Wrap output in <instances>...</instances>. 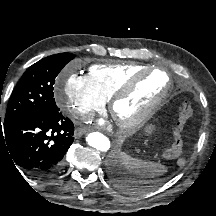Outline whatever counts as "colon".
Segmentation results:
<instances>
[{
	"instance_id": "5ec220e1",
	"label": "colon",
	"mask_w": 216,
	"mask_h": 216,
	"mask_svg": "<svg viewBox=\"0 0 216 216\" xmlns=\"http://www.w3.org/2000/svg\"><path fill=\"white\" fill-rule=\"evenodd\" d=\"M191 115V103L185 99L178 106V117L173 127L172 143L164 152L166 158H178L181 155L183 149L182 130Z\"/></svg>"
}]
</instances>
